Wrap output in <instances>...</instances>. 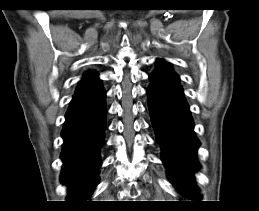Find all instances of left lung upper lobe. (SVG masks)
Returning a JSON list of instances; mask_svg holds the SVG:
<instances>
[{
    "label": "left lung upper lobe",
    "mask_w": 259,
    "mask_h": 211,
    "mask_svg": "<svg viewBox=\"0 0 259 211\" xmlns=\"http://www.w3.org/2000/svg\"><path fill=\"white\" fill-rule=\"evenodd\" d=\"M156 63L157 67L150 75L166 78L174 82H179V76L171 70L167 62L161 59H157Z\"/></svg>",
    "instance_id": "obj_1"
}]
</instances>
